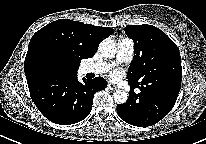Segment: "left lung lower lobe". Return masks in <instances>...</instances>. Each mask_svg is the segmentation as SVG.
I'll return each instance as SVG.
<instances>
[{
    "mask_svg": "<svg viewBox=\"0 0 206 144\" xmlns=\"http://www.w3.org/2000/svg\"><path fill=\"white\" fill-rule=\"evenodd\" d=\"M129 99L117 106L119 117L134 126L147 127L156 124L172 110L180 87L162 86L150 88L141 83H129ZM140 92L135 93L134 89Z\"/></svg>",
    "mask_w": 206,
    "mask_h": 144,
    "instance_id": "obj_1",
    "label": "left lung lower lobe"
}]
</instances>
